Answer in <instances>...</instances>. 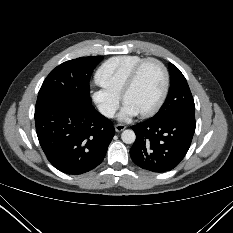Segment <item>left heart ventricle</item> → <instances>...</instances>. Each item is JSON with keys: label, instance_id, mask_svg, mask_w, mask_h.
Masks as SVG:
<instances>
[{"label": "left heart ventricle", "instance_id": "left-heart-ventricle-1", "mask_svg": "<svg viewBox=\"0 0 233 233\" xmlns=\"http://www.w3.org/2000/svg\"><path fill=\"white\" fill-rule=\"evenodd\" d=\"M163 82L160 67L154 62L147 63L142 68L134 87L127 93L125 103L139 113L150 109L161 95Z\"/></svg>", "mask_w": 233, "mask_h": 233}]
</instances>
